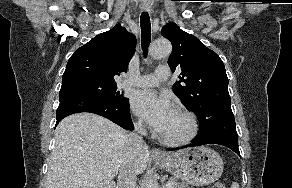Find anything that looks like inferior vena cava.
Returning a JSON list of instances; mask_svg holds the SVG:
<instances>
[{
    "mask_svg": "<svg viewBox=\"0 0 292 188\" xmlns=\"http://www.w3.org/2000/svg\"><path fill=\"white\" fill-rule=\"evenodd\" d=\"M134 126L135 132L129 133L127 138L130 152L144 147L143 136L146 135V130L143 128L141 122L135 123ZM136 175L133 161L130 158L119 169L116 188H136Z\"/></svg>",
    "mask_w": 292,
    "mask_h": 188,
    "instance_id": "1",
    "label": "inferior vena cava"
}]
</instances>
